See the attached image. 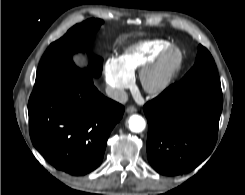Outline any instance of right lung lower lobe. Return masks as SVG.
Returning <instances> with one entry per match:
<instances>
[{
	"instance_id": "98d812e1",
	"label": "right lung lower lobe",
	"mask_w": 245,
	"mask_h": 195,
	"mask_svg": "<svg viewBox=\"0 0 245 195\" xmlns=\"http://www.w3.org/2000/svg\"><path fill=\"white\" fill-rule=\"evenodd\" d=\"M123 113L121 104L96 89L91 75L71 77L32 92L30 137L56 169L85 175L101 164L109 134Z\"/></svg>"
}]
</instances>
